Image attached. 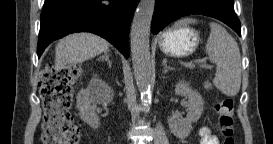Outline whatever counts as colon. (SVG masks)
<instances>
[{
  "label": "colon",
  "mask_w": 273,
  "mask_h": 144,
  "mask_svg": "<svg viewBox=\"0 0 273 144\" xmlns=\"http://www.w3.org/2000/svg\"><path fill=\"white\" fill-rule=\"evenodd\" d=\"M81 70L67 67L56 70L49 67L40 74V96L44 105L42 142L44 144H77L80 132L71 113L72 83ZM218 125L223 137L222 144H234L233 115L234 101L220 100L216 105Z\"/></svg>",
  "instance_id": "obj_1"
}]
</instances>
